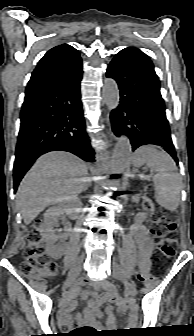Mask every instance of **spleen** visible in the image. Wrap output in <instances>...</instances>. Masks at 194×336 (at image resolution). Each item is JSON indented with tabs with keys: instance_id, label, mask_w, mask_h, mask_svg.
<instances>
[{
	"instance_id": "1",
	"label": "spleen",
	"mask_w": 194,
	"mask_h": 336,
	"mask_svg": "<svg viewBox=\"0 0 194 336\" xmlns=\"http://www.w3.org/2000/svg\"><path fill=\"white\" fill-rule=\"evenodd\" d=\"M133 164L135 167L146 164L155 170L153 181L157 202L165 209L175 211L180 201L181 178L169 154L154 146H142L134 153Z\"/></svg>"
}]
</instances>
